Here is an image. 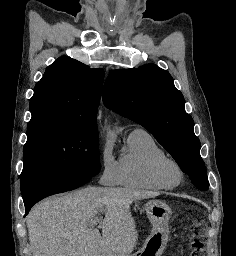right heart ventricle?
Listing matches in <instances>:
<instances>
[{
	"label": "right heart ventricle",
	"mask_w": 236,
	"mask_h": 256,
	"mask_svg": "<svg viewBox=\"0 0 236 256\" xmlns=\"http://www.w3.org/2000/svg\"><path fill=\"white\" fill-rule=\"evenodd\" d=\"M129 152L121 158L122 185L136 189L163 190L171 186L159 182L153 175V166L166 152L145 130L137 129L128 137Z\"/></svg>",
	"instance_id": "1"
}]
</instances>
